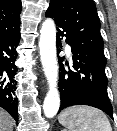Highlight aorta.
Wrapping results in <instances>:
<instances>
[{
	"instance_id": "obj_1",
	"label": "aorta",
	"mask_w": 117,
	"mask_h": 131,
	"mask_svg": "<svg viewBox=\"0 0 117 131\" xmlns=\"http://www.w3.org/2000/svg\"><path fill=\"white\" fill-rule=\"evenodd\" d=\"M39 48L41 63L49 84V91L43 103L44 114L54 117L60 107V95L57 89L58 64L56 58V27L52 19H46L40 30Z\"/></svg>"
}]
</instances>
